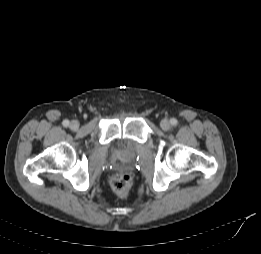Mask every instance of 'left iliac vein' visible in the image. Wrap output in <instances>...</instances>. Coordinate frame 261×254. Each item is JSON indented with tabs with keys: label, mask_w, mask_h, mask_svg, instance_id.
Listing matches in <instances>:
<instances>
[{
	"label": "left iliac vein",
	"mask_w": 261,
	"mask_h": 254,
	"mask_svg": "<svg viewBox=\"0 0 261 254\" xmlns=\"http://www.w3.org/2000/svg\"><path fill=\"white\" fill-rule=\"evenodd\" d=\"M160 126H161V128H162L164 131L169 130L170 127H171L170 122H169L167 119H163V120L160 122Z\"/></svg>",
	"instance_id": "4c4485c4"
}]
</instances>
